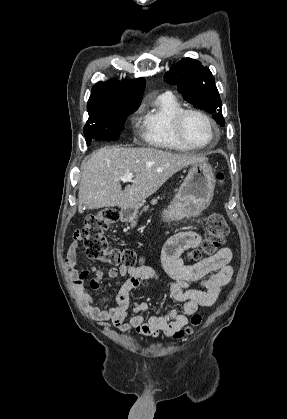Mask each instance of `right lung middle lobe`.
<instances>
[{
    "mask_svg": "<svg viewBox=\"0 0 287 419\" xmlns=\"http://www.w3.org/2000/svg\"><path fill=\"white\" fill-rule=\"evenodd\" d=\"M137 106H123L113 109H103L90 113L84 127L87 145L95 139L98 141H115L119 139L120 132L124 129L127 115L133 113Z\"/></svg>",
    "mask_w": 287,
    "mask_h": 419,
    "instance_id": "right-lung-middle-lobe-1",
    "label": "right lung middle lobe"
}]
</instances>
